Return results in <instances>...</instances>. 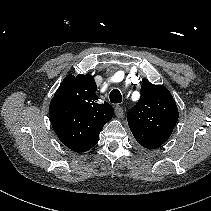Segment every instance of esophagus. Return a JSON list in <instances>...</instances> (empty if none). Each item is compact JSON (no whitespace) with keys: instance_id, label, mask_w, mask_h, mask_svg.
I'll list each match as a JSON object with an SVG mask.
<instances>
[{"instance_id":"1","label":"esophagus","mask_w":211,"mask_h":211,"mask_svg":"<svg viewBox=\"0 0 211 211\" xmlns=\"http://www.w3.org/2000/svg\"><path fill=\"white\" fill-rule=\"evenodd\" d=\"M115 115L118 117V118H121L123 117L124 115V110L121 106L117 105L115 106Z\"/></svg>"}]
</instances>
